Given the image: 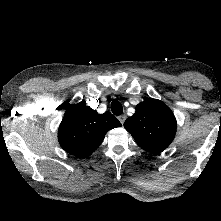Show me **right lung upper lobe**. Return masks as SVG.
<instances>
[{"instance_id":"cb5924a9","label":"right lung upper lobe","mask_w":221,"mask_h":221,"mask_svg":"<svg viewBox=\"0 0 221 221\" xmlns=\"http://www.w3.org/2000/svg\"><path fill=\"white\" fill-rule=\"evenodd\" d=\"M120 126L111 113L98 114L80 102L69 105L58 129V140L69 154L86 158L99 147L110 129Z\"/></svg>"}]
</instances>
